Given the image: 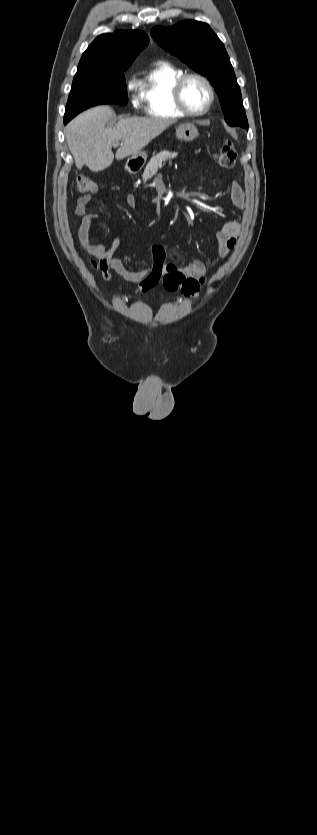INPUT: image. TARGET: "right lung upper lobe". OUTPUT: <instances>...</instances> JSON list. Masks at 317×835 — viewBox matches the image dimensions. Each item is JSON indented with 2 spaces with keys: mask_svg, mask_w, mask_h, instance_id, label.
<instances>
[{
  "mask_svg": "<svg viewBox=\"0 0 317 835\" xmlns=\"http://www.w3.org/2000/svg\"><path fill=\"white\" fill-rule=\"evenodd\" d=\"M147 44V35L139 30L102 34L83 53L77 71L127 70Z\"/></svg>",
  "mask_w": 317,
  "mask_h": 835,
  "instance_id": "right-lung-upper-lobe-1",
  "label": "right lung upper lobe"
}]
</instances>
